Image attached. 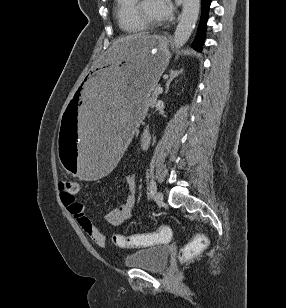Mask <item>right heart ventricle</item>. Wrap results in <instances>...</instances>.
Segmentation results:
<instances>
[{
  "label": "right heart ventricle",
  "instance_id": "obj_1",
  "mask_svg": "<svg viewBox=\"0 0 286 308\" xmlns=\"http://www.w3.org/2000/svg\"><path fill=\"white\" fill-rule=\"evenodd\" d=\"M115 17L120 29L127 34L145 31L146 28L136 19L133 7L137 0H115Z\"/></svg>",
  "mask_w": 286,
  "mask_h": 308
}]
</instances>
